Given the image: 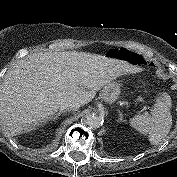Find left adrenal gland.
I'll use <instances>...</instances> for the list:
<instances>
[{
  "label": "left adrenal gland",
  "instance_id": "1",
  "mask_svg": "<svg viewBox=\"0 0 177 177\" xmlns=\"http://www.w3.org/2000/svg\"><path fill=\"white\" fill-rule=\"evenodd\" d=\"M118 122H125L124 119H123V115L121 113V111H119V120Z\"/></svg>",
  "mask_w": 177,
  "mask_h": 177
}]
</instances>
